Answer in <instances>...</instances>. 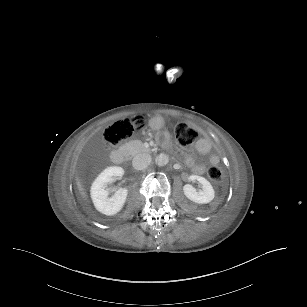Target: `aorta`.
<instances>
[{
    "mask_svg": "<svg viewBox=\"0 0 307 307\" xmlns=\"http://www.w3.org/2000/svg\"><path fill=\"white\" fill-rule=\"evenodd\" d=\"M168 163V157L165 154H159L155 158V164L159 167H163Z\"/></svg>",
    "mask_w": 307,
    "mask_h": 307,
    "instance_id": "aorta-1",
    "label": "aorta"
}]
</instances>
